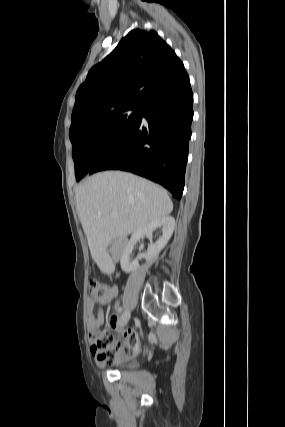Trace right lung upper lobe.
<instances>
[{"label": "right lung upper lobe", "mask_w": 285, "mask_h": 427, "mask_svg": "<svg viewBox=\"0 0 285 427\" xmlns=\"http://www.w3.org/2000/svg\"><path fill=\"white\" fill-rule=\"evenodd\" d=\"M184 69L154 30H132L79 87L69 134L126 106L141 105L151 90Z\"/></svg>", "instance_id": "right-lung-upper-lobe-1"}]
</instances>
